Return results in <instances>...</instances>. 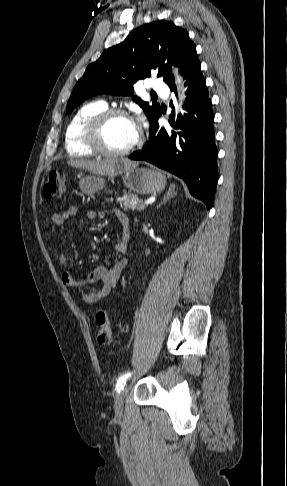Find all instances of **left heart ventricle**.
<instances>
[{
    "label": "left heart ventricle",
    "mask_w": 287,
    "mask_h": 486,
    "mask_svg": "<svg viewBox=\"0 0 287 486\" xmlns=\"http://www.w3.org/2000/svg\"><path fill=\"white\" fill-rule=\"evenodd\" d=\"M137 137V129L133 121L117 117L112 119L103 130L104 145L111 150H121L129 146Z\"/></svg>",
    "instance_id": "left-heart-ventricle-1"
}]
</instances>
